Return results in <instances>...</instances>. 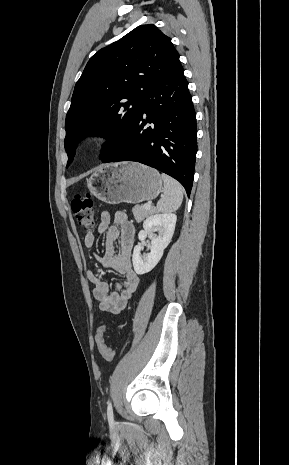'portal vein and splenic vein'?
Masks as SVG:
<instances>
[{
	"mask_svg": "<svg viewBox=\"0 0 289 465\" xmlns=\"http://www.w3.org/2000/svg\"><path fill=\"white\" fill-rule=\"evenodd\" d=\"M143 206H144L145 209H150L151 208V204H149V203H146Z\"/></svg>",
	"mask_w": 289,
	"mask_h": 465,
	"instance_id": "portal-vein-and-splenic-vein-1",
	"label": "portal vein and splenic vein"
}]
</instances>
